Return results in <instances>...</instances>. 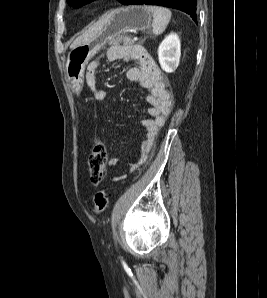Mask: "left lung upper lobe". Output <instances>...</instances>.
Listing matches in <instances>:
<instances>
[{"label": "left lung upper lobe", "mask_w": 267, "mask_h": 298, "mask_svg": "<svg viewBox=\"0 0 267 298\" xmlns=\"http://www.w3.org/2000/svg\"><path fill=\"white\" fill-rule=\"evenodd\" d=\"M93 0H67L68 4L72 7L79 8L87 3L92 2ZM120 3H124L126 0H118Z\"/></svg>", "instance_id": "obj_1"}]
</instances>
